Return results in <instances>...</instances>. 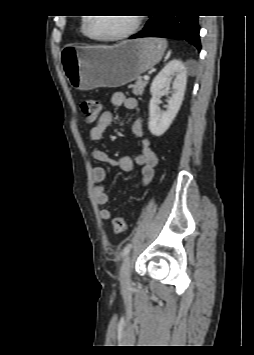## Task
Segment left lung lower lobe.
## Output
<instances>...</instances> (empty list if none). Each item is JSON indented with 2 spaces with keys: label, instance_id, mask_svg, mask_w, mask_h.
Segmentation results:
<instances>
[{
  "label": "left lung lower lobe",
  "instance_id": "obj_1",
  "mask_svg": "<svg viewBox=\"0 0 254 355\" xmlns=\"http://www.w3.org/2000/svg\"><path fill=\"white\" fill-rule=\"evenodd\" d=\"M143 37L182 38L193 44L199 51L201 50L197 15H154L143 31L132 35L130 39Z\"/></svg>",
  "mask_w": 254,
  "mask_h": 355
}]
</instances>
